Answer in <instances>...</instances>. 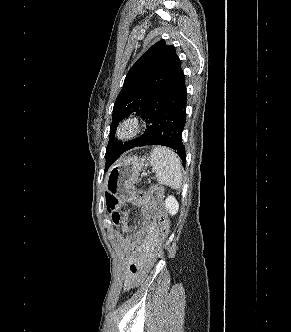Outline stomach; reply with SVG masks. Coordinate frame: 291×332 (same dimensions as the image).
<instances>
[{
  "label": "stomach",
  "mask_w": 291,
  "mask_h": 332,
  "mask_svg": "<svg viewBox=\"0 0 291 332\" xmlns=\"http://www.w3.org/2000/svg\"><path fill=\"white\" fill-rule=\"evenodd\" d=\"M145 166V158L129 156L121 159L106 176L107 191L122 202L132 200L135 192L134 184Z\"/></svg>",
  "instance_id": "stomach-1"
}]
</instances>
